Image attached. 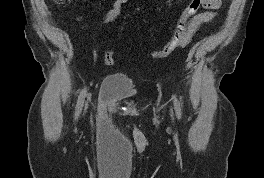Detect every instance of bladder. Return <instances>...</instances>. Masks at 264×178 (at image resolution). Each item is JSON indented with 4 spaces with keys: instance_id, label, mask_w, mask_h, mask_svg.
Instances as JSON below:
<instances>
[{
    "instance_id": "bladder-1",
    "label": "bladder",
    "mask_w": 264,
    "mask_h": 178,
    "mask_svg": "<svg viewBox=\"0 0 264 178\" xmlns=\"http://www.w3.org/2000/svg\"><path fill=\"white\" fill-rule=\"evenodd\" d=\"M137 93L138 88L135 81L123 72L108 74L100 87V96L111 100L135 97Z\"/></svg>"
}]
</instances>
